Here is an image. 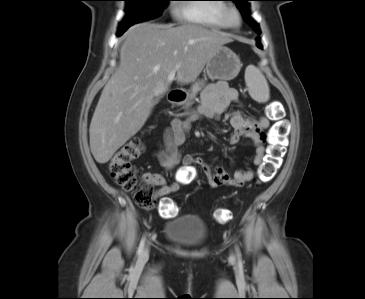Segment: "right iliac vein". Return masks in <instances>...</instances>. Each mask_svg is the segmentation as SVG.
Returning <instances> with one entry per match:
<instances>
[{"label": "right iliac vein", "mask_w": 365, "mask_h": 299, "mask_svg": "<svg viewBox=\"0 0 365 299\" xmlns=\"http://www.w3.org/2000/svg\"><path fill=\"white\" fill-rule=\"evenodd\" d=\"M149 257V248L148 246L143 250L141 256H140V261L141 262H146L147 259Z\"/></svg>", "instance_id": "63e3f726"}]
</instances>
